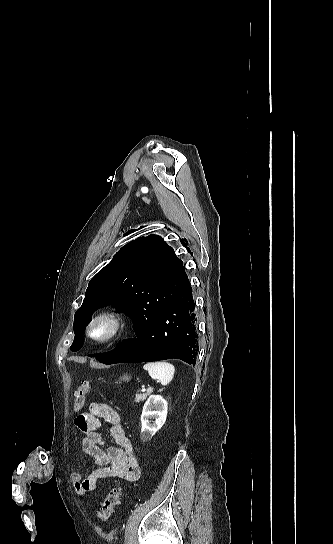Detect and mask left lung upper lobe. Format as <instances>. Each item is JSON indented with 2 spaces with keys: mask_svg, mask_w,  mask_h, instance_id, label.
I'll list each match as a JSON object with an SVG mask.
<instances>
[{
  "mask_svg": "<svg viewBox=\"0 0 333 544\" xmlns=\"http://www.w3.org/2000/svg\"><path fill=\"white\" fill-rule=\"evenodd\" d=\"M188 283L182 261L161 237L150 235L131 241L91 279L83 304L75 313V338L70 349L81 347L83 331L99 307L113 304L137 325L153 319Z\"/></svg>",
  "mask_w": 333,
  "mask_h": 544,
  "instance_id": "left-lung-upper-lobe-1",
  "label": "left lung upper lobe"
}]
</instances>
